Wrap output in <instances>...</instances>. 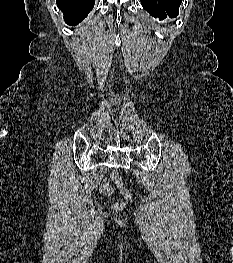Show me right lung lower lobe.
I'll return each instance as SVG.
<instances>
[{
  "instance_id": "obj_1",
  "label": "right lung lower lobe",
  "mask_w": 233,
  "mask_h": 263,
  "mask_svg": "<svg viewBox=\"0 0 233 263\" xmlns=\"http://www.w3.org/2000/svg\"><path fill=\"white\" fill-rule=\"evenodd\" d=\"M56 3L65 22L72 26L80 23L94 6V0H56Z\"/></svg>"
}]
</instances>
